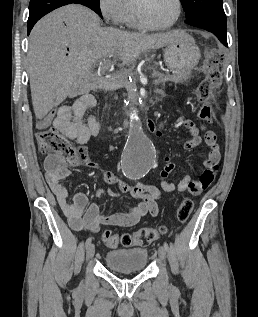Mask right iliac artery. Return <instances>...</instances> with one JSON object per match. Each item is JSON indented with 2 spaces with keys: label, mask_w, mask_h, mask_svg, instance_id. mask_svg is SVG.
Returning a JSON list of instances; mask_svg holds the SVG:
<instances>
[{
  "label": "right iliac artery",
  "mask_w": 258,
  "mask_h": 317,
  "mask_svg": "<svg viewBox=\"0 0 258 317\" xmlns=\"http://www.w3.org/2000/svg\"><path fill=\"white\" fill-rule=\"evenodd\" d=\"M91 241H92V238L89 237V238L86 240V242H85V246L88 247V246L90 245Z\"/></svg>",
  "instance_id": "82829eb1"
}]
</instances>
